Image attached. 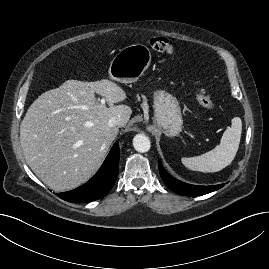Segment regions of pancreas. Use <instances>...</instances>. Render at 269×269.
<instances>
[{
  "label": "pancreas",
  "instance_id": "obj_1",
  "mask_svg": "<svg viewBox=\"0 0 269 269\" xmlns=\"http://www.w3.org/2000/svg\"><path fill=\"white\" fill-rule=\"evenodd\" d=\"M142 98H143V106H144V107H148L146 97L143 95Z\"/></svg>",
  "mask_w": 269,
  "mask_h": 269
}]
</instances>
